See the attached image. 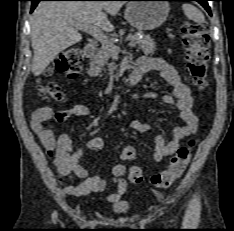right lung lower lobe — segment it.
<instances>
[{"label": "right lung lower lobe", "mask_w": 234, "mask_h": 231, "mask_svg": "<svg viewBox=\"0 0 234 231\" xmlns=\"http://www.w3.org/2000/svg\"><path fill=\"white\" fill-rule=\"evenodd\" d=\"M30 1H32V7H31V12H32L40 1H78V0H30ZM81 1H94V0H81ZM104 1H109V0H104Z\"/></svg>", "instance_id": "1"}]
</instances>
